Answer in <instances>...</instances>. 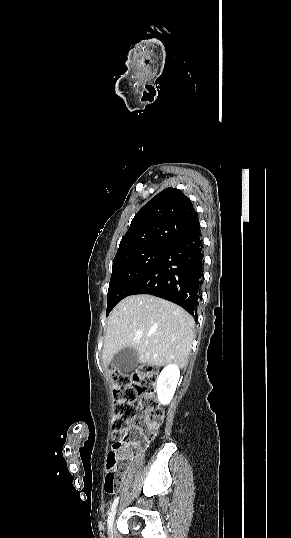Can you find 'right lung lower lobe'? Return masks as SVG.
I'll return each mask as SVG.
<instances>
[{"mask_svg":"<svg viewBox=\"0 0 291 538\" xmlns=\"http://www.w3.org/2000/svg\"><path fill=\"white\" fill-rule=\"evenodd\" d=\"M202 250L198 230L170 247L130 295L151 294L176 303L197 316L203 283Z\"/></svg>","mask_w":291,"mask_h":538,"instance_id":"right-lung-lower-lobe-1","label":"right lung lower lobe"}]
</instances>
